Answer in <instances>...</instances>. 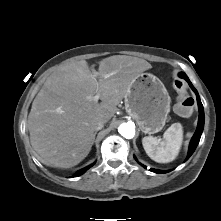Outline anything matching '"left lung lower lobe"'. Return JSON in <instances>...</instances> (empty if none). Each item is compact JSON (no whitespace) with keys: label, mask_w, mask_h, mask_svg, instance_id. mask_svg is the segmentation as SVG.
Masks as SVG:
<instances>
[{"label":"left lung lower lobe","mask_w":221,"mask_h":221,"mask_svg":"<svg viewBox=\"0 0 221 221\" xmlns=\"http://www.w3.org/2000/svg\"><path fill=\"white\" fill-rule=\"evenodd\" d=\"M179 77L185 79L188 84L190 85V87L192 88V90L195 92L196 97H197V102H198V107H199V120H198V125H197V129L195 131V134L193 135L190 145H189V151H188V155L186 160L189 159V157L193 154V152L195 151L199 141H200V137L203 131V127H204V110H203V105L200 101V97L198 95L197 90L194 88V86L192 85V83L190 82L189 78L187 77V75L183 72L179 73ZM135 158V157H134ZM136 159V158H135ZM185 160V161H186ZM143 167H145L144 165H142ZM146 168V167H145ZM150 171L155 172V173H167L170 170L167 171H162V170H157V169H150Z\"/></svg>","instance_id":"1"}]
</instances>
